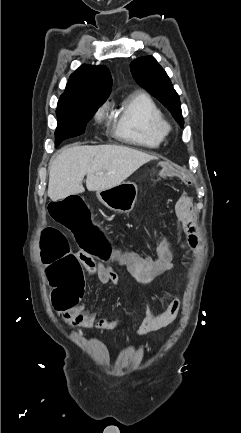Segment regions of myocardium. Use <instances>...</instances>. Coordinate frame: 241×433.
Masks as SVG:
<instances>
[{"mask_svg": "<svg viewBox=\"0 0 241 433\" xmlns=\"http://www.w3.org/2000/svg\"><path fill=\"white\" fill-rule=\"evenodd\" d=\"M171 130H172V127H171L170 123L163 120L161 125H160V131H161L162 135L164 137L167 136L171 132Z\"/></svg>", "mask_w": 241, "mask_h": 433, "instance_id": "obj_1", "label": "myocardium"}]
</instances>
